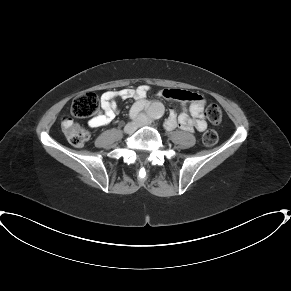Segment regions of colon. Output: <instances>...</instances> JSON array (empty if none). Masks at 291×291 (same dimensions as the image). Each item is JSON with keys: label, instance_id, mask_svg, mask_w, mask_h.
<instances>
[{"label": "colon", "instance_id": "colon-1", "mask_svg": "<svg viewBox=\"0 0 291 291\" xmlns=\"http://www.w3.org/2000/svg\"><path fill=\"white\" fill-rule=\"evenodd\" d=\"M98 97L94 92H84L77 96L71 105V115L61 119V130L68 141L74 146H83L90 138L87 128L80 125L75 119L87 118L93 115L98 108ZM205 116L213 123H219L222 118L220 107L209 104L205 109ZM218 140V134L214 130H208L203 134L202 141L206 146L214 145Z\"/></svg>", "mask_w": 291, "mask_h": 291}]
</instances>
